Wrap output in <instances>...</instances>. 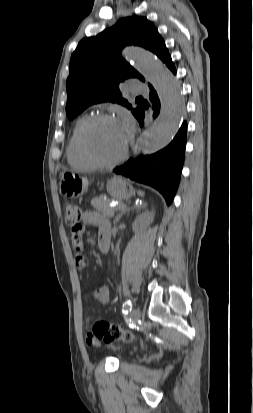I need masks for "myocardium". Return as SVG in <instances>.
<instances>
[{"mask_svg":"<svg viewBox=\"0 0 253 413\" xmlns=\"http://www.w3.org/2000/svg\"><path fill=\"white\" fill-rule=\"evenodd\" d=\"M117 122V119L109 114H96L87 119L80 129L78 136L79 150L84 159L96 168H112L123 162L128 155V143L126 142L122 153L111 161L97 159L90 151L87 143V136L91 128L99 122Z\"/></svg>","mask_w":253,"mask_h":413,"instance_id":"myocardium-1","label":"myocardium"}]
</instances>
